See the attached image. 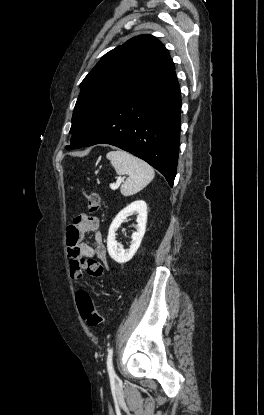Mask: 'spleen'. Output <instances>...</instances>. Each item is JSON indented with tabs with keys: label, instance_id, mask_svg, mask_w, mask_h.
I'll return each instance as SVG.
<instances>
[{
	"label": "spleen",
	"instance_id": "spleen-1",
	"mask_svg": "<svg viewBox=\"0 0 264 415\" xmlns=\"http://www.w3.org/2000/svg\"><path fill=\"white\" fill-rule=\"evenodd\" d=\"M118 175H128L120 187L124 196L141 191L154 178L153 168L145 161L122 150L110 151L106 155Z\"/></svg>",
	"mask_w": 264,
	"mask_h": 415
}]
</instances>
